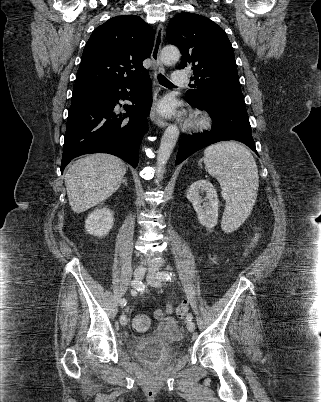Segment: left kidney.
<instances>
[{"mask_svg":"<svg viewBox=\"0 0 321 402\" xmlns=\"http://www.w3.org/2000/svg\"><path fill=\"white\" fill-rule=\"evenodd\" d=\"M201 192H206L205 202L200 196ZM187 199L192 203L200 224L209 229L217 224L219 201L217 191L211 182L200 179L192 183L187 191Z\"/></svg>","mask_w":321,"mask_h":402,"instance_id":"left-kidney-1","label":"left kidney"}]
</instances>
